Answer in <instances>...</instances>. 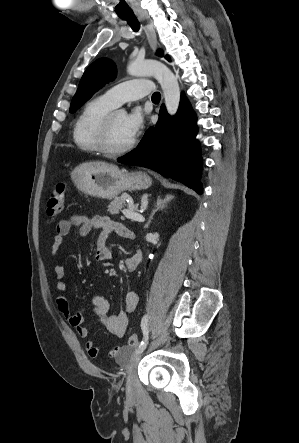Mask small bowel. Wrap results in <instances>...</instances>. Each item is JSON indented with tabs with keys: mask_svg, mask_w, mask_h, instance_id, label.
Instances as JSON below:
<instances>
[{
	"mask_svg": "<svg viewBox=\"0 0 299 443\" xmlns=\"http://www.w3.org/2000/svg\"><path fill=\"white\" fill-rule=\"evenodd\" d=\"M79 227L81 236L87 235L91 230L99 231L95 246V259L97 261H109L113 259V254L107 243L112 234H117L124 238H131L133 234L130 229L121 223L113 222L105 216H83L74 215L68 219L61 220L56 226V234L52 243V254L57 256L62 247L64 238L68 236L73 227ZM141 262V254L135 253L125 259V267L128 271H134ZM54 274L57 282L56 287L60 294L56 299L57 307L68 323L76 330L81 338H88L91 330L83 325L85 309L71 312L69 303L63 292L67 288L65 279V268L62 264L57 263L54 266ZM139 302V296L134 291H128L124 296L123 310L115 314H109V302L100 296H94L91 300V306L99 317L100 323L111 335L122 338L126 334L129 325V315L135 311ZM86 350L91 358H98L101 355L100 349L92 340L86 341ZM124 348L117 346L109 352L110 358L118 359L120 352Z\"/></svg>",
	"mask_w": 299,
	"mask_h": 443,
	"instance_id": "small-bowel-1",
	"label": "small bowel"
}]
</instances>
